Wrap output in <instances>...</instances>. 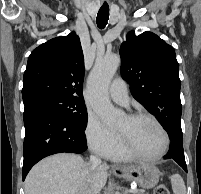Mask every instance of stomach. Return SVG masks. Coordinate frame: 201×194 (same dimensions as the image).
<instances>
[{"instance_id": "0dacf381", "label": "stomach", "mask_w": 201, "mask_h": 194, "mask_svg": "<svg viewBox=\"0 0 201 194\" xmlns=\"http://www.w3.org/2000/svg\"><path fill=\"white\" fill-rule=\"evenodd\" d=\"M121 177L128 181L136 182L144 189H150L157 185L160 172L157 167L152 164L131 165L120 168Z\"/></svg>"}]
</instances>
